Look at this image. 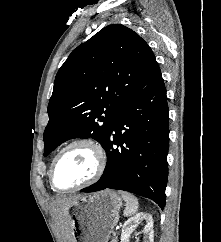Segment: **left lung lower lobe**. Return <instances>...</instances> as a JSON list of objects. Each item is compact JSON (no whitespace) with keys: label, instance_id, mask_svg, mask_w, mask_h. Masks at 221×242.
Listing matches in <instances>:
<instances>
[{"label":"left lung lower lobe","instance_id":"obj_1","mask_svg":"<svg viewBox=\"0 0 221 242\" xmlns=\"http://www.w3.org/2000/svg\"><path fill=\"white\" fill-rule=\"evenodd\" d=\"M168 114L166 88L159 69L116 115L103 145L107 154L104 173L99 181L81 191L125 190L152 199L164 209Z\"/></svg>","mask_w":221,"mask_h":242}]
</instances>
